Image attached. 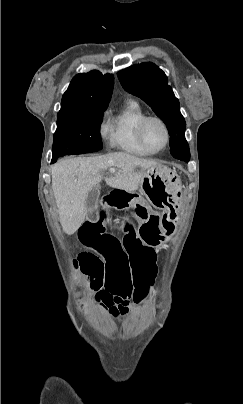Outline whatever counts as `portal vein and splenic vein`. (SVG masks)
Instances as JSON below:
<instances>
[{
    "label": "portal vein and splenic vein",
    "mask_w": 243,
    "mask_h": 404,
    "mask_svg": "<svg viewBox=\"0 0 243 404\" xmlns=\"http://www.w3.org/2000/svg\"><path fill=\"white\" fill-rule=\"evenodd\" d=\"M109 172H111V174H114V172H116V170H109Z\"/></svg>",
    "instance_id": "18ae733b"
}]
</instances>
